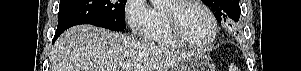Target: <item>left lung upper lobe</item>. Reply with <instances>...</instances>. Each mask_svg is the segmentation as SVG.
<instances>
[{
  "mask_svg": "<svg viewBox=\"0 0 301 71\" xmlns=\"http://www.w3.org/2000/svg\"><path fill=\"white\" fill-rule=\"evenodd\" d=\"M204 2L215 12L220 23L223 18L225 20V17H229L234 21H238L240 18L238 0H204Z\"/></svg>",
  "mask_w": 301,
  "mask_h": 71,
  "instance_id": "left-lung-upper-lobe-1",
  "label": "left lung upper lobe"
}]
</instances>
